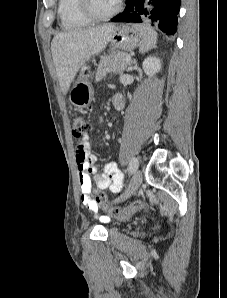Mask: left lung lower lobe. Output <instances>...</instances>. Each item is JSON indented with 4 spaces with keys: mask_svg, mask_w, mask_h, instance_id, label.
Masks as SVG:
<instances>
[{
    "mask_svg": "<svg viewBox=\"0 0 227 298\" xmlns=\"http://www.w3.org/2000/svg\"><path fill=\"white\" fill-rule=\"evenodd\" d=\"M180 0H127L125 10L112 22L149 23L173 35L177 30Z\"/></svg>",
    "mask_w": 227,
    "mask_h": 298,
    "instance_id": "obj_1",
    "label": "left lung lower lobe"
}]
</instances>
